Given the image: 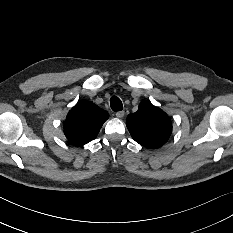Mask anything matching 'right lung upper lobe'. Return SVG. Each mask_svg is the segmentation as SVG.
<instances>
[{"mask_svg": "<svg viewBox=\"0 0 233 233\" xmlns=\"http://www.w3.org/2000/svg\"><path fill=\"white\" fill-rule=\"evenodd\" d=\"M108 117V112L94 103L80 102L68 113L64 133L74 145H84L96 138Z\"/></svg>", "mask_w": 233, "mask_h": 233, "instance_id": "obj_1", "label": "right lung upper lobe"}]
</instances>
